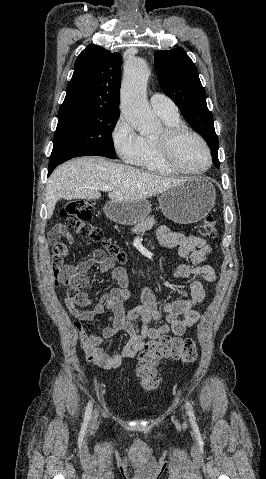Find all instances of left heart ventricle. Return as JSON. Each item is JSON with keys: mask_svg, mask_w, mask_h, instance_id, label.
I'll return each instance as SVG.
<instances>
[{"mask_svg": "<svg viewBox=\"0 0 266 479\" xmlns=\"http://www.w3.org/2000/svg\"><path fill=\"white\" fill-rule=\"evenodd\" d=\"M174 155L177 163L189 171L201 170L207 164L204 147L191 135H184L176 141Z\"/></svg>", "mask_w": 266, "mask_h": 479, "instance_id": "1", "label": "left heart ventricle"}]
</instances>
